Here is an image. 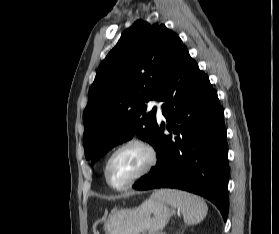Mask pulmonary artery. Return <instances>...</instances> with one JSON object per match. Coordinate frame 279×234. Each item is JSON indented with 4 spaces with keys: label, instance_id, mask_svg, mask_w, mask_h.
<instances>
[{
    "label": "pulmonary artery",
    "instance_id": "e3ab8cb5",
    "mask_svg": "<svg viewBox=\"0 0 279 234\" xmlns=\"http://www.w3.org/2000/svg\"><path fill=\"white\" fill-rule=\"evenodd\" d=\"M149 107L150 108H155L157 110V115L159 118L162 117V112H163V108H162V103L160 101H156V100H152L149 102Z\"/></svg>",
    "mask_w": 279,
    "mask_h": 234
}]
</instances>
